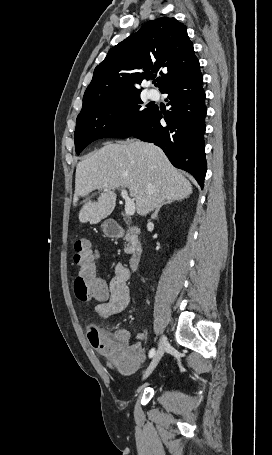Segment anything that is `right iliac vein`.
Wrapping results in <instances>:
<instances>
[{"label":"right iliac vein","mask_w":272,"mask_h":455,"mask_svg":"<svg viewBox=\"0 0 272 455\" xmlns=\"http://www.w3.org/2000/svg\"><path fill=\"white\" fill-rule=\"evenodd\" d=\"M167 346H168L167 337L165 335H162L158 348H157V351L155 352V355L153 356V359H152L150 365L148 366V368L145 370V372L143 374V380L146 379L156 368V366L158 365L159 361L161 360Z\"/></svg>","instance_id":"right-iliac-vein-1"}]
</instances>
